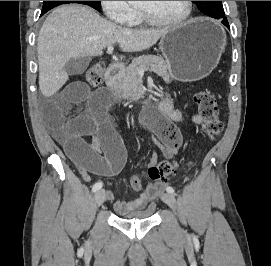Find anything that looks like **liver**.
<instances>
[{"mask_svg": "<svg viewBox=\"0 0 271 266\" xmlns=\"http://www.w3.org/2000/svg\"><path fill=\"white\" fill-rule=\"evenodd\" d=\"M168 31L125 28L88 6L58 7L46 18L37 40L41 93L51 97L62 88L68 80V73L62 69L72 58L102 55L105 47L116 43L123 52L143 51Z\"/></svg>", "mask_w": 271, "mask_h": 266, "instance_id": "liver-1", "label": "liver"}]
</instances>
